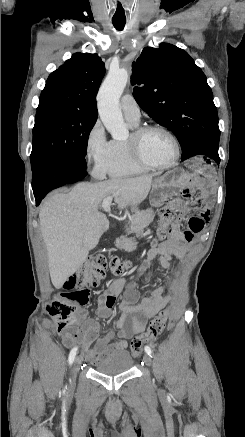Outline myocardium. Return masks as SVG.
<instances>
[{
	"label": "myocardium",
	"mask_w": 245,
	"mask_h": 437,
	"mask_svg": "<svg viewBox=\"0 0 245 437\" xmlns=\"http://www.w3.org/2000/svg\"><path fill=\"white\" fill-rule=\"evenodd\" d=\"M151 130H158V131L163 132L172 141V143L174 145L175 154H174L173 159L169 163L155 164V163L147 161L141 155V152L139 149L140 138L146 132L151 131ZM126 146H127V149H128V152H129L131 158L139 165L144 166V167L149 168V169H168V168H171L177 164V162L180 158V154H181L180 143H179L177 137L168 128H166L162 125H159V124H147V125H141V126L136 127L135 129H133L129 138L126 140Z\"/></svg>",
	"instance_id": "f54148a6"
}]
</instances>
